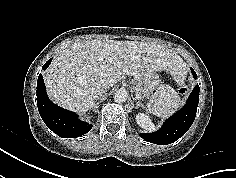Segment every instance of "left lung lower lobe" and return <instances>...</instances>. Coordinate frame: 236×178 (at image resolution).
Returning a JSON list of instances; mask_svg holds the SVG:
<instances>
[{
	"label": "left lung lower lobe",
	"mask_w": 236,
	"mask_h": 178,
	"mask_svg": "<svg viewBox=\"0 0 236 178\" xmlns=\"http://www.w3.org/2000/svg\"><path fill=\"white\" fill-rule=\"evenodd\" d=\"M193 77L197 75L191 68ZM199 103V86L196 85L188 97L185 106L175 115L165 121L162 128L153 133H143L140 136L151 143L165 145L170 144L182 137L191 127L197 112Z\"/></svg>",
	"instance_id": "left-lung-lower-lobe-1"
}]
</instances>
